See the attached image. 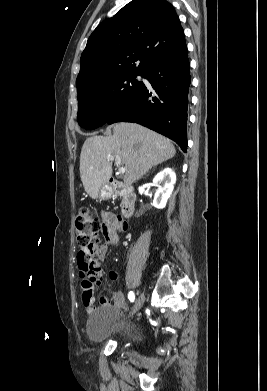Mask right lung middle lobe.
I'll return each instance as SVG.
<instances>
[{
  "label": "right lung middle lobe",
  "mask_w": 267,
  "mask_h": 391,
  "mask_svg": "<svg viewBox=\"0 0 267 391\" xmlns=\"http://www.w3.org/2000/svg\"><path fill=\"white\" fill-rule=\"evenodd\" d=\"M140 71H124L93 81L78 93V123L95 129L107 123L111 115L124 105L143 83L136 80Z\"/></svg>",
  "instance_id": "1"
}]
</instances>
